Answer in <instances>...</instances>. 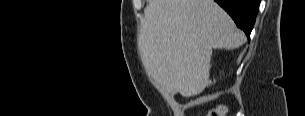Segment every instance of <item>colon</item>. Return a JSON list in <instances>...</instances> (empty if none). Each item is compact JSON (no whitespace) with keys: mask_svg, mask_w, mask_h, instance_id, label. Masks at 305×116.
I'll return each instance as SVG.
<instances>
[{"mask_svg":"<svg viewBox=\"0 0 305 116\" xmlns=\"http://www.w3.org/2000/svg\"><path fill=\"white\" fill-rule=\"evenodd\" d=\"M227 113V108L225 106H217L211 109L207 116H224Z\"/></svg>","mask_w":305,"mask_h":116,"instance_id":"obj_1","label":"colon"}]
</instances>
